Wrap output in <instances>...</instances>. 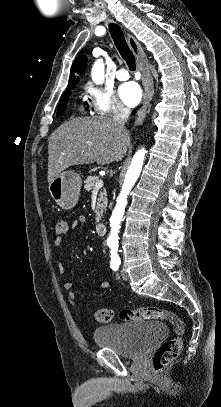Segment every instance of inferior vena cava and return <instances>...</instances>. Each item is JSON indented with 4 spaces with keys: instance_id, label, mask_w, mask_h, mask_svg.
Returning a JSON list of instances; mask_svg holds the SVG:
<instances>
[{
    "instance_id": "1",
    "label": "inferior vena cava",
    "mask_w": 221,
    "mask_h": 407,
    "mask_svg": "<svg viewBox=\"0 0 221 407\" xmlns=\"http://www.w3.org/2000/svg\"><path fill=\"white\" fill-rule=\"evenodd\" d=\"M129 115L130 110L123 104L118 103L113 115L114 124L117 125L122 131H126L125 123L128 120Z\"/></svg>"
}]
</instances>
